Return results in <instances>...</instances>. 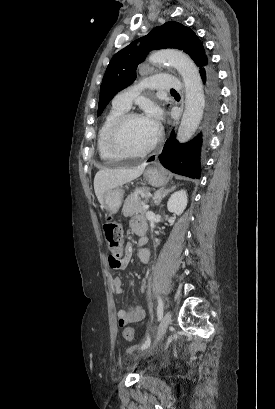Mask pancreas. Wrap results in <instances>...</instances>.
Returning a JSON list of instances; mask_svg holds the SVG:
<instances>
[{"mask_svg": "<svg viewBox=\"0 0 275 409\" xmlns=\"http://www.w3.org/2000/svg\"><path fill=\"white\" fill-rule=\"evenodd\" d=\"M141 196H144L145 200H141ZM149 198V188L148 186H141V188H136L134 192H131L127 196L122 213L124 217H132L134 213H146L147 209H142V202H147Z\"/></svg>", "mask_w": 275, "mask_h": 409, "instance_id": "pancreas-1", "label": "pancreas"}]
</instances>
